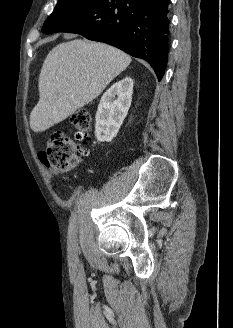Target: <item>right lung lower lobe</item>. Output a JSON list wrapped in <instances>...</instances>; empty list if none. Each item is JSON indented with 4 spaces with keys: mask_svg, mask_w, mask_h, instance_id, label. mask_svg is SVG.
<instances>
[{
    "mask_svg": "<svg viewBox=\"0 0 233 328\" xmlns=\"http://www.w3.org/2000/svg\"><path fill=\"white\" fill-rule=\"evenodd\" d=\"M169 0H95L57 20L51 32H70L145 59L158 80L168 59Z\"/></svg>",
    "mask_w": 233,
    "mask_h": 328,
    "instance_id": "1",
    "label": "right lung lower lobe"
}]
</instances>
